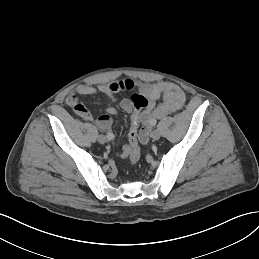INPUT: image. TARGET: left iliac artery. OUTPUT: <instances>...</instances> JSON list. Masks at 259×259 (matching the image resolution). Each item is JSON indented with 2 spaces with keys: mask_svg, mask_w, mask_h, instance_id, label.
<instances>
[{
  "mask_svg": "<svg viewBox=\"0 0 259 259\" xmlns=\"http://www.w3.org/2000/svg\"><path fill=\"white\" fill-rule=\"evenodd\" d=\"M156 123H157V121H156V120H154V121H153V125H156Z\"/></svg>",
  "mask_w": 259,
  "mask_h": 259,
  "instance_id": "left-iliac-artery-1",
  "label": "left iliac artery"
}]
</instances>
